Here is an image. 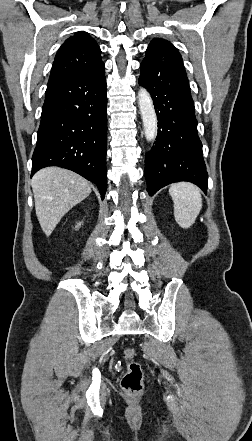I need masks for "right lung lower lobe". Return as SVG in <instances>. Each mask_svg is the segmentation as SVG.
Wrapping results in <instances>:
<instances>
[{"instance_id": "98d812e1", "label": "right lung lower lobe", "mask_w": 252, "mask_h": 441, "mask_svg": "<svg viewBox=\"0 0 252 441\" xmlns=\"http://www.w3.org/2000/svg\"><path fill=\"white\" fill-rule=\"evenodd\" d=\"M105 66L50 84L45 92L32 173L47 166L72 170L107 188Z\"/></svg>"}]
</instances>
